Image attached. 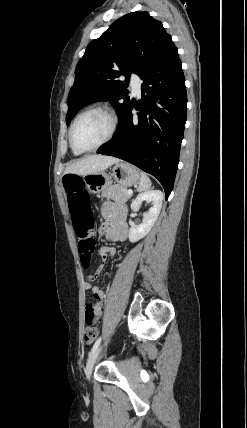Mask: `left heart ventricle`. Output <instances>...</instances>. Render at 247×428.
Wrapping results in <instances>:
<instances>
[{"label": "left heart ventricle", "mask_w": 247, "mask_h": 428, "mask_svg": "<svg viewBox=\"0 0 247 428\" xmlns=\"http://www.w3.org/2000/svg\"><path fill=\"white\" fill-rule=\"evenodd\" d=\"M109 128L110 123L105 114L90 112L76 123L73 133L74 142L81 148L93 147L107 136Z\"/></svg>", "instance_id": "left-heart-ventricle-1"}]
</instances>
